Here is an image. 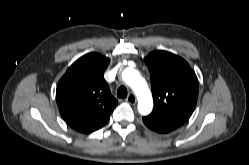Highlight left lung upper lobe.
Instances as JSON below:
<instances>
[{"label": "left lung upper lobe", "mask_w": 249, "mask_h": 165, "mask_svg": "<svg viewBox=\"0 0 249 165\" xmlns=\"http://www.w3.org/2000/svg\"><path fill=\"white\" fill-rule=\"evenodd\" d=\"M145 62L154 100L148 117L183 125L197 102L199 85L195 72L181 57L166 51L151 52Z\"/></svg>", "instance_id": "obj_1"}]
</instances>
